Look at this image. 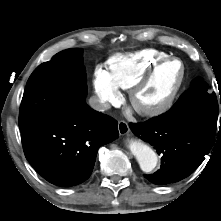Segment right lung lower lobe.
<instances>
[{
  "label": "right lung lower lobe",
  "instance_id": "98d812e1",
  "mask_svg": "<svg viewBox=\"0 0 221 221\" xmlns=\"http://www.w3.org/2000/svg\"><path fill=\"white\" fill-rule=\"evenodd\" d=\"M21 134L26 159L45 180L60 187L87 180L98 149L119 136L118 123L90 108L85 98Z\"/></svg>",
  "mask_w": 221,
  "mask_h": 221
}]
</instances>
